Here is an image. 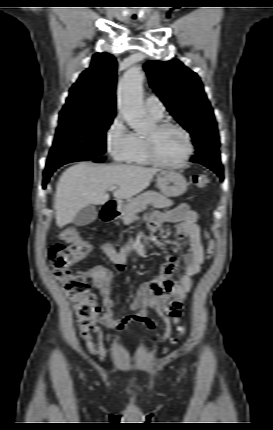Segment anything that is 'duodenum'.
<instances>
[{
    "label": "duodenum",
    "mask_w": 273,
    "mask_h": 430,
    "mask_svg": "<svg viewBox=\"0 0 273 430\" xmlns=\"http://www.w3.org/2000/svg\"><path fill=\"white\" fill-rule=\"evenodd\" d=\"M119 215L118 208L114 203H107L101 211V219L105 222L116 219Z\"/></svg>",
    "instance_id": "obj_1"
}]
</instances>
